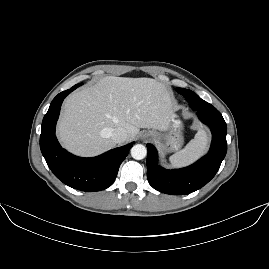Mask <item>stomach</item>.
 I'll list each match as a JSON object with an SVG mask.
<instances>
[{
    "instance_id": "obj_1",
    "label": "stomach",
    "mask_w": 269,
    "mask_h": 269,
    "mask_svg": "<svg viewBox=\"0 0 269 269\" xmlns=\"http://www.w3.org/2000/svg\"><path fill=\"white\" fill-rule=\"evenodd\" d=\"M180 127V121L171 118L169 120L168 133H161L156 130H152V137L154 139V143L159 147L161 152L169 153L177 151L181 148L183 144V137L180 133Z\"/></svg>"
}]
</instances>
